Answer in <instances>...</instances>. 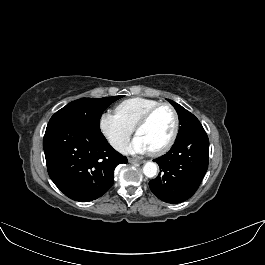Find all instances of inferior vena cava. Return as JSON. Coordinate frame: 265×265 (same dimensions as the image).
Returning a JSON list of instances; mask_svg holds the SVG:
<instances>
[{"label":"inferior vena cava","instance_id":"602c4592","mask_svg":"<svg viewBox=\"0 0 265 265\" xmlns=\"http://www.w3.org/2000/svg\"><path fill=\"white\" fill-rule=\"evenodd\" d=\"M111 145L118 151L124 152L126 150V143L119 139L110 140Z\"/></svg>","mask_w":265,"mask_h":265}]
</instances>
